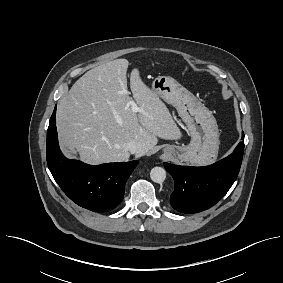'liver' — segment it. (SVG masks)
<instances>
[{"label": "liver", "mask_w": 283, "mask_h": 283, "mask_svg": "<svg viewBox=\"0 0 283 283\" xmlns=\"http://www.w3.org/2000/svg\"><path fill=\"white\" fill-rule=\"evenodd\" d=\"M126 59L97 66L80 77L58 103L57 130L68 157L76 152L88 164L124 162L127 143L135 141L142 156L158 138L180 139L182 133L166 105L142 81L139 70L130 76L133 100L144 112L134 113L127 90Z\"/></svg>", "instance_id": "6515ba94"}]
</instances>
